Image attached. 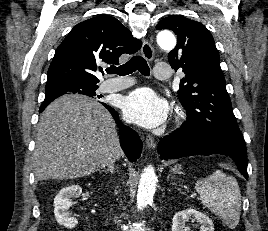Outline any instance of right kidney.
<instances>
[{"mask_svg":"<svg viewBox=\"0 0 268 231\" xmlns=\"http://www.w3.org/2000/svg\"><path fill=\"white\" fill-rule=\"evenodd\" d=\"M82 188L71 185L63 188L54 199V214L57 222L66 228H74L78 224L77 218L71 215L69 208L72 206V198L80 195Z\"/></svg>","mask_w":268,"mask_h":231,"instance_id":"ca27d5eb","label":"right kidney"}]
</instances>
